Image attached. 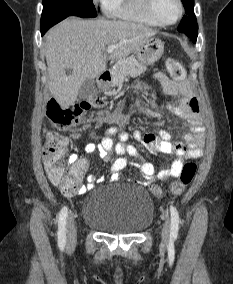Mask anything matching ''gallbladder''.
I'll use <instances>...</instances> for the list:
<instances>
[{
    "label": "gallbladder",
    "mask_w": 233,
    "mask_h": 284,
    "mask_svg": "<svg viewBox=\"0 0 233 284\" xmlns=\"http://www.w3.org/2000/svg\"><path fill=\"white\" fill-rule=\"evenodd\" d=\"M96 91L95 87V81L93 79H87L82 84L79 93L78 98L79 99H86L89 96H91Z\"/></svg>",
    "instance_id": "1"
}]
</instances>
